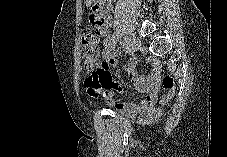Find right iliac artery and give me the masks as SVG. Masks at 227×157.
I'll list each match as a JSON object with an SVG mask.
<instances>
[{
    "instance_id": "1",
    "label": "right iliac artery",
    "mask_w": 227,
    "mask_h": 157,
    "mask_svg": "<svg viewBox=\"0 0 227 157\" xmlns=\"http://www.w3.org/2000/svg\"><path fill=\"white\" fill-rule=\"evenodd\" d=\"M127 42H128V41H127ZM125 49H126V48H125ZM126 52H127V53H130V52H131V49L127 47Z\"/></svg>"
}]
</instances>
